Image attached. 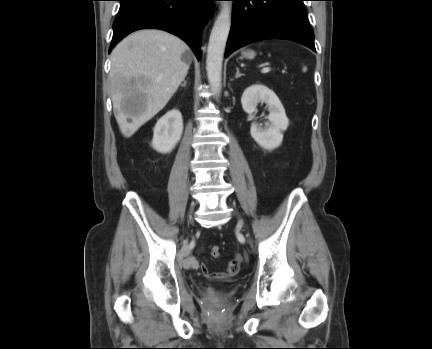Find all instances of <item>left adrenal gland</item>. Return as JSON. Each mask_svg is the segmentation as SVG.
Here are the masks:
<instances>
[{"instance_id": "a2214340", "label": "left adrenal gland", "mask_w": 432, "mask_h": 349, "mask_svg": "<svg viewBox=\"0 0 432 349\" xmlns=\"http://www.w3.org/2000/svg\"><path fill=\"white\" fill-rule=\"evenodd\" d=\"M242 75H243V74L240 73L239 68L237 67V68H236V75H235V78L237 79V78L241 77Z\"/></svg>"}]
</instances>
